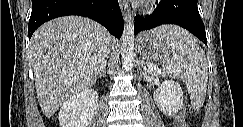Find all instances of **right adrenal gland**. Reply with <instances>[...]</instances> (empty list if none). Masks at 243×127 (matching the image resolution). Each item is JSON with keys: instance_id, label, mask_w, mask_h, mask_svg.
<instances>
[{"instance_id": "right-adrenal-gland-1", "label": "right adrenal gland", "mask_w": 243, "mask_h": 127, "mask_svg": "<svg viewBox=\"0 0 243 127\" xmlns=\"http://www.w3.org/2000/svg\"><path fill=\"white\" fill-rule=\"evenodd\" d=\"M105 75H106V70L103 67L102 70H101V72H100V74L98 75V78H101L102 76L105 77Z\"/></svg>"}]
</instances>
